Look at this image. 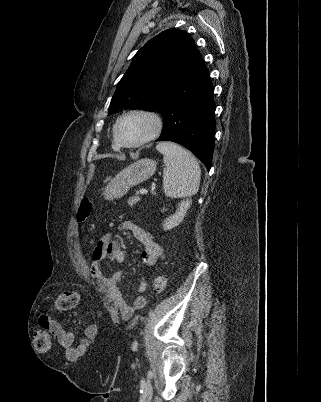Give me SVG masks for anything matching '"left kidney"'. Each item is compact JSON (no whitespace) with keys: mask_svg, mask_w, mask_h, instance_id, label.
Returning a JSON list of instances; mask_svg holds the SVG:
<instances>
[{"mask_svg":"<svg viewBox=\"0 0 321 402\" xmlns=\"http://www.w3.org/2000/svg\"><path fill=\"white\" fill-rule=\"evenodd\" d=\"M161 211H162V212H164V211H165V209L163 208Z\"/></svg>","mask_w":321,"mask_h":402,"instance_id":"1","label":"left kidney"}]
</instances>
